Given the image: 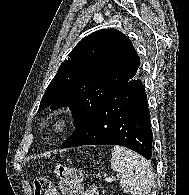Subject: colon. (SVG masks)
<instances>
[{"label":"colon","mask_w":189,"mask_h":195,"mask_svg":"<svg viewBox=\"0 0 189 195\" xmlns=\"http://www.w3.org/2000/svg\"><path fill=\"white\" fill-rule=\"evenodd\" d=\"M56 176L59 180L61 195H84L85 188L82 184V174L76 169L65 165L56 167ZM35 195H58L52 182L45 177H37L34 180Z\"/></svg>","instance_id":"obj_1"}]
</instances>
